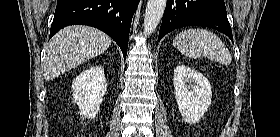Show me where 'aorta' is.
<instances>
[{
  "label": "aorta",
  "mask_w": 280,
  "mask_h": 137,
  "mask_svg": "<svg viewBox=\"0 0 280 137\" xmlns=\"http://www.w3.org/2000/svg\"><path fill=\"white\" fill-rule=\"evenodd\" d=\"M165 7L166 0H148L143 24V31L146 35H150L155 31L163 16Z\"/></svg>",
  "instance_id": "aorta-1"
}]
</instances>
